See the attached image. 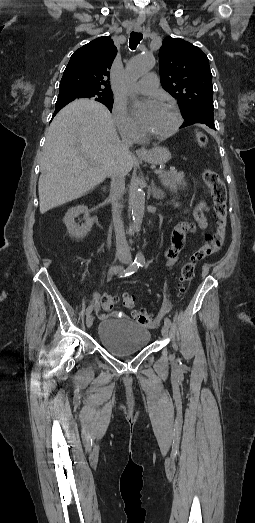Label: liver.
<instances>
[{
  "mask_svg": "<svg viewBox=\"0 0 255 523\" xmlns=\"http://www.w3.org/2000/svg\"><path fill=\"white\" fill-rule=\"evenodd\" d=\"M38 182L40 214L81 198L104 182L120 162L122 144L112 116L99 102L75 100L46 130ZM134 158L123 162L128 174Z\"/></svg>",
  "mask_w": 255,
  "mask_h": 523,
  "instance_id": "6515ba94",
  "label": "liver"
}]
</instances>
